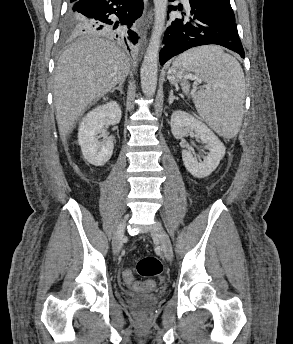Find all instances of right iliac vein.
Masks as SVG:
<instances>
[{"label": "right iliac vein", "instance_id": "obj_1", "mask_svg": "<svg viewBox=\"0 0 293 344\" xmlns=\"http://www.w3.org/2000/svg\"><path fill=\"white\" fill-rule=\"evenodd\" d=\"M125 227H126V220L124 219L120 222V224L116 230V233L114 235V238H113V253L116 255L120 251V240L124 236Z\"/></svg>", "mask_w": 293, "mask_h": 344}]
</instances>
